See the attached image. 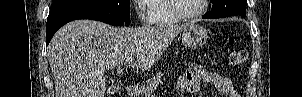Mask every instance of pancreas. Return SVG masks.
<instances>
[{
  "mask_svg": "<svg viewBox=\"0 0 302 97\" xmlns=\"http://www.w3.org/2000/svg\"><path fill=\"white\" fill-rule=\"evenodd\" d=\"M167 75L165 73L159 72L156 77L151 78L147 81L146 85H143L140 89L142 97H152L154 92L159 88V85L162 84Z\"/></svg>",
  "mask_w": 302,
  "mask_h": 97,
  "instance_id": "obj_1",
  "label": "pancreas"
}]
</instances>
